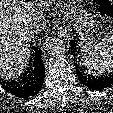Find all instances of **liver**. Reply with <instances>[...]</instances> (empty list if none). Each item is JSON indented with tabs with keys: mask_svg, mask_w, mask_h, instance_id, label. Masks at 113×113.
<instances>
[{
	"mask_svg": "<svg viewBox=\"0 0 113 113\" xmlns=\"http://www.w3.org/2000/svg\"><path fill=\"white\" fill-rule=\"evenodd\" d=\"M31 1L0 0V74L6 79L19 76L28 64L32 35L29 25L39 16Z\"/></svg>",
	"mask_w": 113,
	"mask_h": 113,
	"instance_id": "6515ba94",
	"label": "liver"
}]
</instances>
